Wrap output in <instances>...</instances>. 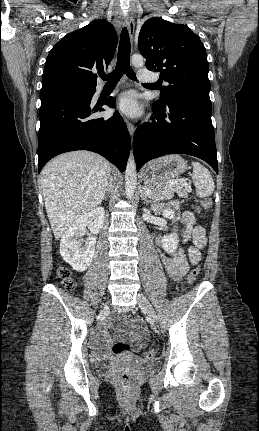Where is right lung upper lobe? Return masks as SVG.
Listing matches in <instances>:
<instances>
[{
	"label": "right lung upper lobe",
	"mask_w": 259,
	"mask_h": 431,
	"mask_svg": "<svg viewBox=\"0 0 259 431\" xmlns=\"http://www.w3.org/2000/svg\"><path fill=\"white\" fill-rule=\"evenodd\" d=\"M117 46V34L106 20H95L63 37L49 52L42 77V89L66 84L95 89L94 70L104 72Z\"/></svg>",
	"instance_id": "right-lung-upper-lobe-1"
}]
</instances>
